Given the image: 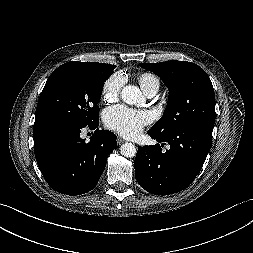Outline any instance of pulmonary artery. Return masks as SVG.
<instances>
[{"instance_id": "obj_1", "label": "pulmonary artery", "mask_w": 253, "mask_h": 253, "mask_svg": "<svg viewBox=\"0 0 253 253\" xmlns=\"http://www.w3.org/2000/svg\"><path fill=\"white\" fill-rule=\"evenodd\" d=\"M156 92L157 91L153 90V91H150V92H148L146 94H147V96L152 97Z\"/></svg>"}]
</instances>
